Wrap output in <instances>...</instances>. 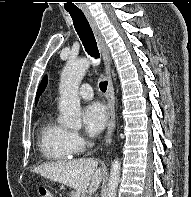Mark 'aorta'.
<instances>
[{"label": "aorta", "mask_w": 191, "mask_h": 197, "mask_svg": "<svg viewBox=\"0 0 191 197\" xmlns=\"http://www.w3.org/2000/svg\"><path fill=\"white\" fill-rule=\"evenodd\" d=\"M90 66L86 58L70 60L66 63L60 76L59 123L62 126L78 130L82 126L81 106L78 95L79 85ZM121 164L118 159L112 162L107 186V197H116L120 182Z\"/></svg>", "instance_id": "aorta-1"}]
</instances>
